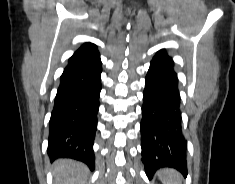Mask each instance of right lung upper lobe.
<instances>
[{
  "instance_id": "cb5924a9",
  "label": "right lung upper lobe",
  "mask_w": 235,
  "mask_h": 184,
  "mask_svg": "<svg viewBox=\"0 0 235 184\" xmlns=\"http://www.w3.org/2000/svg\"><path fill=\"white\" fill-rule=\"evenodd\" d=\"M93 51H97L96 45L92 43H85L76 52H93Z\"/></svg>"
}]
</instances>
